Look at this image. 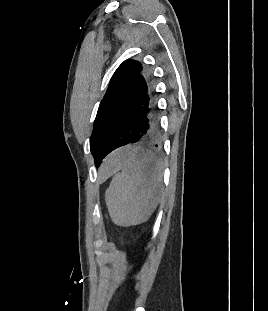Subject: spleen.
<instances>
[{
	"instance_id": "spleen-1",
	"label": "spleen",
	"mask_w": 268,
	"mask_h": 311,
	"mask_svg": "<svg viewBox=\"0 0 268 311\" xmlns=\"http://www.w3.org/2000/svg\"><path fill=\"white\" fill-rule=\"evenodd\" d=\"M113 179L105 202L114 224L129 227L148 220L160 199L163 169L152 148L126 144L110 158Z\"/></svg>"
}]
</instances>
